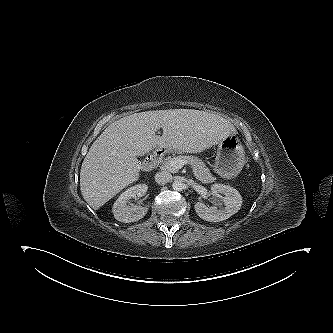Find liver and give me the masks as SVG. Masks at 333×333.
<instances>
[{
    "mask_svg": "<svg viewBox=\"0 0 333 333\" xmlns=\"http://www.w3.org/2000/svg\"><path fill=\"white\" fill-rule=\"evenodd\" d=\"M162 128L163 135H156ZM222 117L199 110L135 113L109 125L90 147L80 171V190L94 210L140 177L137 156L157 147L200 153L235 134Z\"/></svg>",
    "mask_w": 333,
    "mask_h": 333,
    "instance_id": "1",
    "label": "liver"
}]
</instances>
